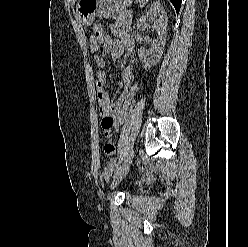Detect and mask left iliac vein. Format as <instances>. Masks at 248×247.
<instances>
[{"instance_id": "left-iliac-vein-1", "label": "left iliac vein", "mask_w": 248, "mask_h": 247, "mask_svg": "<svg viewBox=\"0 0 248 247\" xmlns=\"http://www.w3.org/2000/svg\"><path fill=\"white\" fill-rule=\"evenodd\" d=\"M134 158V151H131L130 154L125 158L123 161L122 166L118 170V172L115 174L114 179L111 183V188H115L119 182L127 175L129 168L132 164Z\"/></svg>"}]
</instances>
